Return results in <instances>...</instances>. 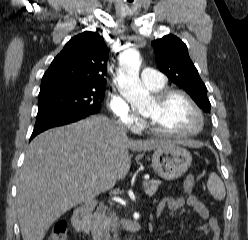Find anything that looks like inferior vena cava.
<instances>
[{"label": "inferior vena cava", "instance_id": "1", "mask_svg": "<svg viewBox=\"0 0 248 240\" xmlns=\"http://www.w3.org/2000/svg\"><path fill=\"white\" fill-rule=\"evenodd\" d=\"M118 128L122 133H126V128L124 126H118ZM109 230H111L113 234V239L119 240V236L117 233V218L115 217V214H112L110 218Z\"/></svg>", "mask_w": 248, "mask_h": 240}]
</instances>
